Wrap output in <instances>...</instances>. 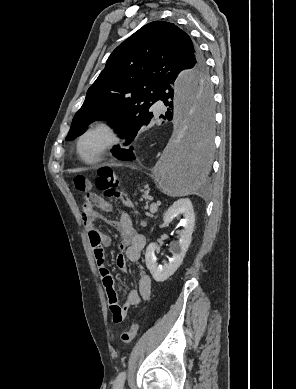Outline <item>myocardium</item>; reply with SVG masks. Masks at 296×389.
<instances>
[{
	"label": "myocardium",
	"mask_w": 296,
	"mask_h": 389,
	"mask_svg": "<svg viewBox=\"0 0 296 389\" xmlns=\"http://www.w3.org/2000/svg\"><path fill=\"white\" fill-rule=\"evenodd\" d=\"M101 138V144L91 156L83 152L84 141L91 137ZM120 140L116 127L109 121L102 120L89 125L78 137L76 143V152L79 158L85 163H96L100 161Z\"/></svg>",
	"instance_id": "obj_1"
}]
</instances>
